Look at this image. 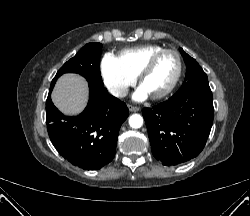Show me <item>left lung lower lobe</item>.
I'll return each mask as SVG.
<instances>
[{"instance_id":"left-lung-lower-lobe-1","label":"left lung lower lobe","mask_w":250,"mask_h":216,"mask_svg":"<svg viewBox=\"0 0 250 216\" xmlns=\"http://www.w3.org/2000/svg\"><path fill=\"white\" fill-rule=\"evenodd\" d=\"M153 156L166 166L199 155L209 136L214 107L212 95L170 98L143 109Z\"/></svg>"}]
</instances>
